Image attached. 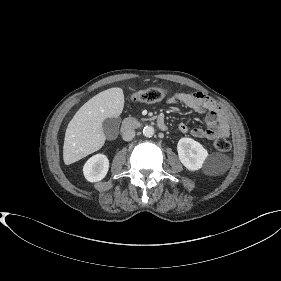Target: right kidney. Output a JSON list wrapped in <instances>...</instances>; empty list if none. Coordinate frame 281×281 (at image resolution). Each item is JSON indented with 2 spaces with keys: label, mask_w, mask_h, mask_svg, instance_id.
I'll return each mask as SVG.
<instances>
[{
  "label": "right kidney",
  "mask_w": 281,
  "mask_h": 281,
  "mask_svg": "<svg viewBox=\"0 0 281 281\" xmlns=\"http://www.w3.org/2000/svg\"><path fill=\"white\" fill-rule=\"evenodd\" d=\"M109 170V160L104 154H96L89 158L83 166V173L87 181H101Z\"/></svg>",
  "instance_id": "ca27d5eb"
}]
</instances>
